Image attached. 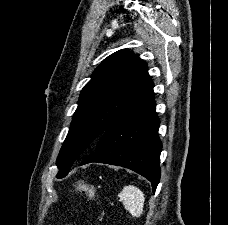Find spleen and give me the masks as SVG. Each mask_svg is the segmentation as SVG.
<instances>
[{
	"label": "spleen",
	"mask_w": 228,
	"mask_h": 225,
	"mask_svg": "<svg viewBox=\"0 0 228 225\" xmlns=\"http://www.w3.org/2000/svg\"><path fill=\"white\" fill-rule=\"evenodd\" d=\"M118 197L132 217H141L143 215L145 197L140 189H137L134 185H129V187L122 189Z\"/></svg>",
	"instance_id": "obj_1"
}]
</instances>
